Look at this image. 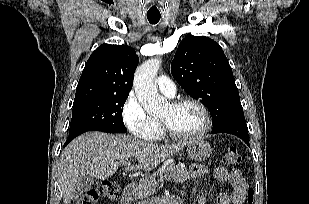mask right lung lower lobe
<instances>
[{
    "label": "right lung lower lobe",
    "mask_w": 309,
    "mask_h": 204,
    "mask_svg": "<svg viewBox=\"0 0 309 204\" xmlns=\"http://www.w3.org/2000/svg\"><path fill=\"white\" fill-rule=\"evenodd\" d=\"M81 134V133H80ZM80 134H76V135H73V136H69V138L67 139V141L65 142L64 144V147L71 141L73 140L76 136L80 135Z\"/></svg>",
    "instance_id": "right-lung-lower-lobe-1"
}]
</instances>
